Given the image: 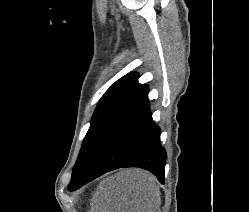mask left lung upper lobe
Returning <instances> with one entry per match:
<instances>
[{"mask_svg":"<svg viewBox=\"0 0 249 212\" xmlns=\"http://www.w3.org/2000/svg\"><path fill=\"white\" fill-rule=\"evenodd\" d=\"M138 78V73H128L113 83L100 99L74 165L71 181L80 176L109 129L148 89L147 85L138 83Z\"/></svg>","mask_w":249,"mask_h":212,"instance_id":"obj_1","label":"left lung upper lobe"}]
</instances>
